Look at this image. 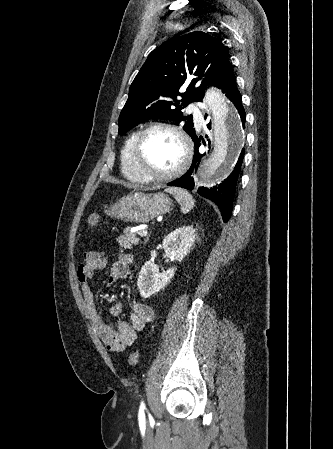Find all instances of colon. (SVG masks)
Returning a JSON list of instances; mask_svg holds the SVG:
<instances>
[{"label": "colon", "instance_id": "colon-1", "mask_svg": "<svg viewBox=\"0 0 333 449\" xmlns=\"http://www.w3.org/2000/svg\"><path fill=\"white\" fill-rule=\"evenodd\" d=\"M99 214L97 213H93L88 217L87 223L89 227H94L98 224L99 222ZM139 360V353L138 352H132L129 356H128V364L130 366H135L138 363Z\"/></svg>", "mask_w": 333, "mask_h": 449}]
</instances>
